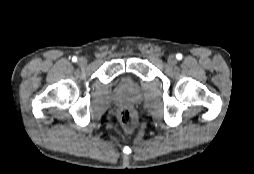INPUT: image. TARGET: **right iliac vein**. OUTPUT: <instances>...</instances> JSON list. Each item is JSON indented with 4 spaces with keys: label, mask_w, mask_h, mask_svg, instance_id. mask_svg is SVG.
<instances>
[{
    "label": "right iliac vein",
    "mask_w": 254,
    "mask_h": 174,
    "mask_svg": "<svg viewBox=\"0 0 254 174\" xmlns=\"http://www.w3.org/2000/svg\"><path fill=\"white\" fill-rule=\"evenodd\" d=\"M77 63L79 66L84 67L87 65V59L85 57H80Z\"/></svg>",
    "instance_id": "63e3f726"
}]
</instances>
